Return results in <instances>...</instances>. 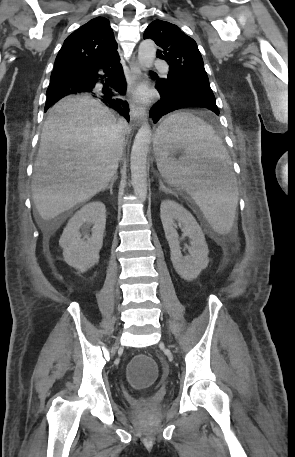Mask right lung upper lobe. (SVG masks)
Here are the masks:
<instances>
[{
    "mask_svg": "<svg viewBox=\"0 0 295 457\" xmlns=\"http://www.w3.org/2000/svg\"><path fill=\"white\" fill-rule=\"evenodd\" d=\"M117 48L109 20L94 18L66 38L56 57L53 72L95 65L118 53Z\"/></svg>",
    "mask_w": 295,
    "mask_h": 457,
    "instance_id": "cb5924a9",
    "label": "right lung upper lobe"
}]
</instances>
